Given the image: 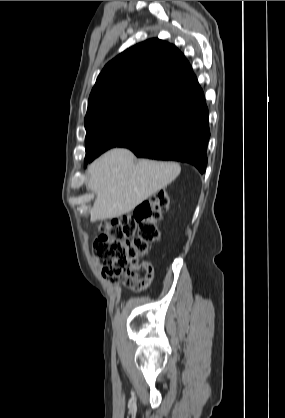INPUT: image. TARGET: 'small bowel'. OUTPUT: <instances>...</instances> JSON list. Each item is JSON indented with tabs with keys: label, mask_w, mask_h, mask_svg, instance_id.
<instances>
[{
	"label": "small bowel",
	"mask_w": 285,
	"mask_h": 418,
	"mask_svg": "<svg viewBox=\"0 0 285 418\" xmlns=\"http://www.w3.org/2000/svg\"><path fill=\"white\" fill-rule=\"evenodd\" d=\"M94 263L100 267V261L97 257L93 259ZM144 272L140 276L137 275L134 271H130L128 274H125L122 277V282L128 281V284L126 286L130 289L134 288H145L148 285L151 284L153 278H154V269L151 264L149 263H143Z\"/></svg>",
	"instance_id": "c3829d8e"
}]
</instances>
